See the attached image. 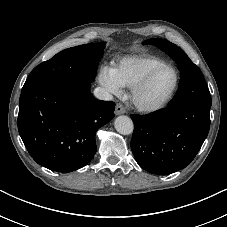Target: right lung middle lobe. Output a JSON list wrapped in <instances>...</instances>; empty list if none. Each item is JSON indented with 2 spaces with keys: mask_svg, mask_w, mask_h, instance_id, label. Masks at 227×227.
I'll return each instance as SVG.
<instances>
[{
  "mask_svg": "<svg viewBox=\"0 0 227 227\" xmlns=\"http://www.w3.org/2000/svg\"><path fill=\"white\" fill-rule=\"evenodd\" d=\"M105 42L65 49L50 60L36 66L28 76L22 91L37 85L67 79L94 81Z\"/></svg>",
  "mask_w": 227,
  "mask_h": 227,
  "instance_id": "1",
  "label": "right lung middle lobe"
}]
</instances>
